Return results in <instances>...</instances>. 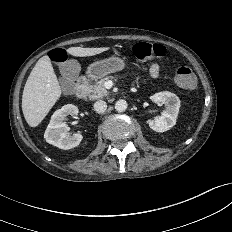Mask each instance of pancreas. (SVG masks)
Segmentation results:
<instances>
[{
    "mask_svg": "<svg viewBox=\"0 0 232 232\" xmlns=\"http://www.w3.org/2000/svg\"><path fill=\"white\" fill-rule=\"evenodd\" d=\"M109 79H114V77L107 76V77L100 79L95 84L87 85L86 92H87L89 99L95 100V99L107 97L109 92L105 88L104 83Z\"/></svg>",
    "mask_w": 232,
    "mask_h": 232,
    "instance_id": "pancreas-1",
    "label": "pancreas"
}]
</instances>
